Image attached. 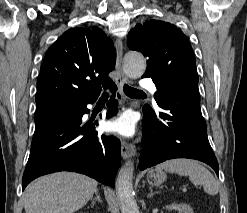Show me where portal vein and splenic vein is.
Here are the masks:
<instances>
[{"label":"portal vein and splenic vein","instance_id":"portal-vein-and-splenic-vein-1","mask_svg":"<svg viewBox=\"0 0 247 213\" xmlns=\"http://www.w3.org/2000/svg\"><path fill=\"white\" fill-rule=\"evenodd\" d=\"M185 191H186V188L183 189V192H185Z\"/></svg>","mask_w":247,"mask_h":213}]
</instances>
